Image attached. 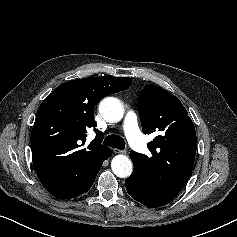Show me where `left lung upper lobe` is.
<instances>
[{
    "mask_svg": "<svg viewBox=\"0 0 237 237\" xmlns=\"http://www.w3.org/2000/svg\"><path fill=\"white\" fill-rule=\"evenodd\" d=\"M137 110L143 133L158 135L147 145L151 157L130 152L135 181L148 199L171 200L192 172L197 147L194 124L177 97L152 84L140 92Z\"/></svg>",
    "mask_w": 237,
    "mask_h": 237,
    "instance_id": "obj_1",
    "label": "left lung upper lobe"
}]
</instances>
